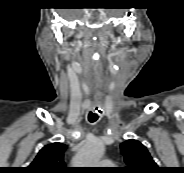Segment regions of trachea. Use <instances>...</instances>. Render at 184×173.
Listing matches in <instances>:
<instances>
[{
    "instance_id": "obj_1",
    "label": "trachea",
    "mask_w": 184,
    "mask_h": 173,
    "mask_svg": "<svg viewBox=\"0 0 184 173\" xmlns=\"http://www.w3.org/2000/svg\"><path fill=\"white\" fill-rule=\"evenodd\" d=\"M97 119H98V116L96 114L90 113L89 116H88V120L91 123H94L95 121H97Z\"/></svg>"
}]
</instances>
